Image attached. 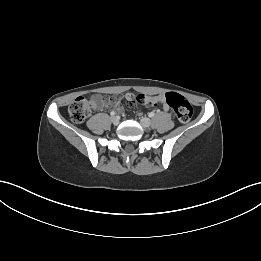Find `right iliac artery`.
<instances>
[{
    "instance_id": "right-iliac-artery-1",
    "label": "right iliac artery",
    "mask_w": 261,
    "mask_h": 261,
    "mask_svg": "<svg viewBox=\"0 0 261 261\" xmlns=\"http://www.w3.org/2000/svg\"><path fill=\"white\" fill-rule=\"evenodd\" d=\"M110 115H111V116H114V115H115V112H114V111H112V112L110 113Z\"/></svg>"
}]
</instances>
